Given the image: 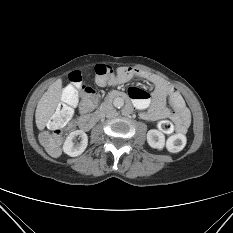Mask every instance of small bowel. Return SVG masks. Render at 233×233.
Listing matches in <instances>:
<instances>
[{
	"label": "small bowel",
	"mask_w": 233,
	"mask_h": 233,
	"mask_svg": "<svg viewBox=\"0 0 233 233\" xmlns=\"http://www.w3.org/2000/svg\"><path fill=\"white\" fill-rule=\"evenodd\" d=\"M135 77L145 79L154 85L152 94L136 87L129 90L140 116L149 121H157L159 130L165 134L174 131L185 133L190 125L191 116L179 91L158 75L126 67L118 69L114 83L125 84ZM95 103V96L82 99L80 104L82 117L93 109Z\"/></svg>",
	"instance_id": "1"
}]
</instances>
